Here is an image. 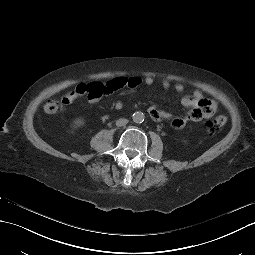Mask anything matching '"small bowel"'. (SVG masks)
<instances>
[{"label":"small bowel","mask_w":255,"mask_h":255,"mask_svg":"<svg viewBox=\"0 0 255 255\" xmlns=\"http://www.w3.org/2000/svg\"><path fill=\"white\" fill-rule=\"evenodd\" d=\"M154 82L153 78L147 77H117L113 78L107 82H88L79 83L71 91L67 92L62 97L63 104H70L75 99L79 97L86 96L88 100L92 103H96L101 100L102 97L112 94L123 88H128L134 90L141 85L150 86ZM164 89H169L171 87V82L169 80H163L161 83ZM174 90L178 93L184 91V85L182 83H176L174 85ZM181 103L184 107L190 108V111L185 116L175 117L171 121V125L174 129H182L189 121H200L201 119H208L214 115L217 110V104L205 98L201 92L195 91L191 95H186L182 98ZM123 107V102L117 100L114 102V108L121 109ZM149 115L154 120H161L168 116L167 113L161 111L157 107H150L148 109Z\"/></svg>","instance_id":"1"}]
</instances>
